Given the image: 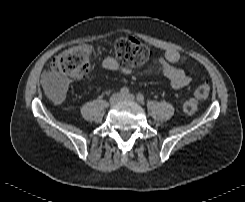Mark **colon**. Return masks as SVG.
I'll list each match as a JSON object with an SVG mask.
<instances>
[{
    "label": "colon",
    "mask_w": 245,
    "mask_h": 202,
    "mask_svg": "<svg viewBox=\"0 0 245 202\" xmlns=\"http://www.w3.org/2000/svg\"><path fill=\"white\" fill-rule=\"evenodd\" d=\"M115 54L121 64L140 66L154 56L150 46L141 42L132 35H124L115 42ZM92 47L87 43L72 45L63 52L57 54L51 61V69L54 73L67 76L75 80L87 77L92 70ZM212 87L209 80L199 85L191 98L184 102L182 110L186 115L196 112L198 102L207 98Z\"/></svg>",
    "instance_id": "colon-1"
}]
</instances>
